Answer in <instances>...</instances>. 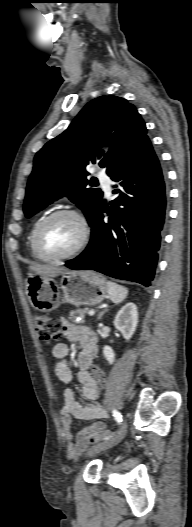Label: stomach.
Here are the masks:
<instances>
[{
    "mask_svg": "<svg viewBox=\"0 0 192 527\" xmlns=\"http://www.w3.org/2000/svg\"><path fill=\"white\" fill-rule=\"evenodd\" d=\"M26 293L34 309L49 312L61 303L97 305L106 297L107 287L104 278L94 271H70L62 274L59 283L51 277L30 276Z\"/></svg>",
    "mask_w": 192,
    "mask_h": 527,
    "instance_id": "0dacf381",
    "label": "stomach"
}]
</instances>
